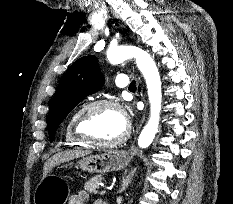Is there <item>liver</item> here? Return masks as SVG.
<instances>
[{
    "instance_id": "obj_1",
    "label": "liver",
    "mask_w": 233,
    "mask_h": 204,
    "mask_svg": "<svg viewBox=\"0 0 233 204\" xmlns=\"http://www.w3.org/2000/svg\"><path fill=\"white\" fill-rule=\"evenodd\" d=\"M90 154L89 151H83V150H66L59 152L55 155H53L48 161L44 164L43 167V178L47 176L48 172L55 167L56 165L60 163H64L70 160H73L75 158L84 157L86 155Z\"/></svg>"
}]
</instances>
